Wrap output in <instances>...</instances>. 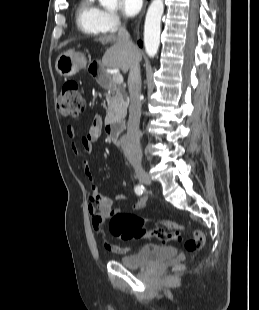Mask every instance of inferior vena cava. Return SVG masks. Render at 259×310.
Segmentation results:
<instances>
[{
    "mask_svg": "<svg viewBox=\"0 0 259 310\" xmlns=\"http://www.w3.org/2000/svg\"><path fill=\"white\" fill-rule=\"evenodd\" d=\"M118 37L132 49H135V45L131 41L130 35L124 25H119ZM128 89L130 95L128 134L133 138V147L131 149L130 159L133 164L140 165L142 159V153L139 145V123L141 117V75L139 60L137 59H134L130 66Z\"/></svg>",
    "mask_w": 259,
    "mask_h": 310,
    "instance_id": "1",
    "label": "inferior vena cava"
}]
</instances>
